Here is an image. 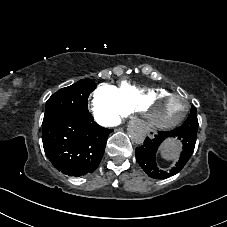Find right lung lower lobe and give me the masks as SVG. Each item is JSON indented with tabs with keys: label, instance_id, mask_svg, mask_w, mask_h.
Segmentation results:
<instances>
[{
	"label": "right lung lower lobe",
	"instance_id": "obj_1",
	"mask_svg": "<svg viewBox=\"0 0 227 227\" xmlns=\"http://www.w3.org/2000/svg\"><path fill=\"white\" fill-rule=\"evenodd\" d=\"M87 113L68 114L42 123V141L52 165L69 176L92 173L99 165L113 131Z\"/></svg>",
	"mask_w": 227,
	"mask_h": 227
}]
</instances>
